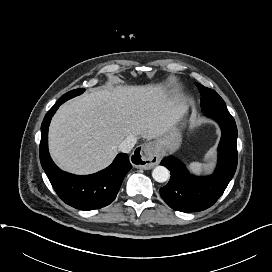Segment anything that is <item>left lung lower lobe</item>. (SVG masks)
I'll use <instances>...</instances> for the list:
<instances>
[{
    "instance_id": "1",
    "label": "left lung lower lobe",
    "mask_w": 272,
    "mask_h": 272,
    "mask_svg": "<svg viewBox=\"0 0 272 272\" xmlns=\"http://www.w3.org/2000/svg\"><path fill=\"white\" fill-rule=\"evenodd\" d=\"M203 112L214 119L222 131L215 172L196 177L172 156L160 163L171 171L170 181L160 188V195L169 207L181 212H198L212 206L225 191L237 167V127L226 105L207 107Z\"/></svg>"
}]
</instances>
